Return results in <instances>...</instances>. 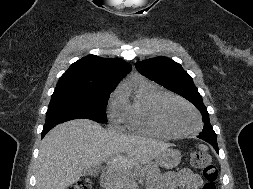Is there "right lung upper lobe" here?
<instances>
[{
  "label": "right lung upper lobe",
  "instance_id": "1",
  "mask_svg": "<svg viewBox=\"0 0 253 189\" xmlns=\"http://www.w3.org/2000/svg\"><path fill=\"white\" fill-rule=\"evenodd\" d=\"M130 71L131 65L122 59L89 55L73 63L60 77L56 88L115 89Z\"/></svg>",
  "mask_w": 253,
  "mask_h": 189
}]
</instances>
